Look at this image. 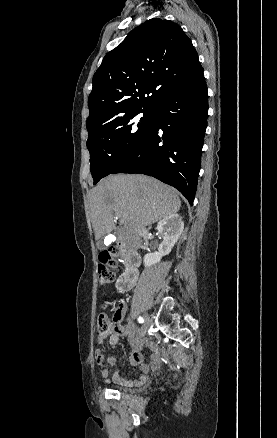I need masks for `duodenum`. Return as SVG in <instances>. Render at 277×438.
I'll use <instances>...</instances> for the list:
<instances>
[{"label": "duodenum", "mask_w": 277, "mask_h": 438, "mask_svg": "<svg viewBox=\"0 0 277 438\" xmlns=\"http://www.w3.org/2000/svg\"><path fill=\"white\" fill-rule=\"evenodd\" d=\"M117 246L125 253V269L118 280L117 288L120 292H127L137 281L140 256L135 247L127 241L117 242Z\"/></svg>", "instance_id": "410a0bca"}]
</instances>
